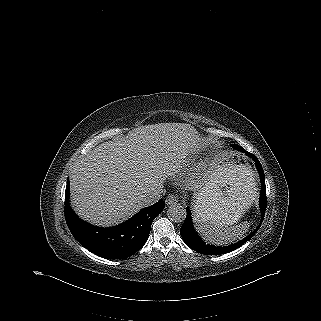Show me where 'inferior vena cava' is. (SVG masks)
I'll return each instance as SVG.
<instances>
[{
  "label": "inferior vena cava",
  "mask_w": 321,
  "mask_h": 321,
  "mask_svg": "<svg viewBox=\"0 0 321 321\" xmlns=\"http://www.w3.org/2000/svg\"><path fill=\"white\" fill-rule=\"evenodd\" d=\"M164 190L162 188L156 189L153 192L147 193L142 196V202L145 206H150L156 203L162 197Z\"/></svg>",
  "instance_id": "obj_1"
}]
</instances>
